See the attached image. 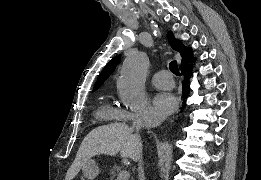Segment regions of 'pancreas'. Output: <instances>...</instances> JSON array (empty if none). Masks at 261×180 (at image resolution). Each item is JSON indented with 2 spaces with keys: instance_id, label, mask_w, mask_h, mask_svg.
Here are the masks:
<instances>
[{
  "instance_id": "obj_1",
  "label": "pancreas",
  "mask_w": 261,
  "mask_h": 180,
  "mask_svg": "<svg viewBox=\"0 0 261 180\" xmlns=\"http://www.w3.org/2000/svg\"><path fill=\"white\" fill-rule=\"evenodd\" d=\"M122 170H123V165L111 166V169H108L107 171V176H112V178H114V176H120Z\"/></svg>"
}]
</instances>
